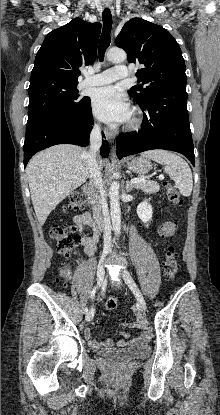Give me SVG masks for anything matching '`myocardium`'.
Returning a JSON list of instances; mask_svg holds the SVG:
<instances>
[{"mask_svg": "<svg viewBox=\"0 0 220 415\" xmlns=\"http://www.w3.org/2000/svg\"><path fill=\"white\" fill-rule=\"evenodd\" d=\"M138 125H139V121H138V119H137V118H133V119L130 121V127L135 128V127H137Z\"/></svg>", "mask_w": 220, "mask_h": 415, "instance_id": "myocardium-1", "label": "myocardium"}]
</instances>
